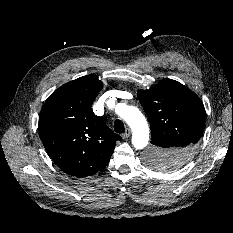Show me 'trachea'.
Returning a JSON list of instances; mask_svg holds the SVG:
<instances>
[{
  "label": "trachea",
  "mask_w": 233,
  "mask_h": 233,
  "mask_svg": "<svg viewBox=\"0 0 233 233\" xmlns=\"http://www.w3.org/2000/svg\"><path fill=\"white\" fill-rule=\"evenodd\" d=\"M114 131L116 133H124L125 132V127H124V124L121 120H119V119L115 120Z\"/></svg>",
  "instance_id": "trachea-1"
}]
</instances>
